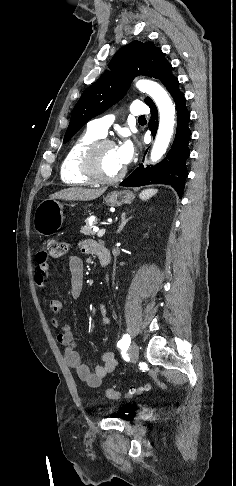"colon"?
<instances>
[{"label": "colon", "instance_id": "obj_1", "mask_svg": "<svg viewBox=\"0 0 236 486\" xmlns=\"http://www.w3.org/2000/svg\"><path fill=\"white\" fill-rule=\"evenodd\" d=\"M66 244L54 239H48L44 243V250L42 256L47 259L57 260L60 259L66 253ZM150 390L149 385H141L138 387L130 388L126 393L122 394L113 388L105 389L104 393L108 399L117 400L121 398H132L137 395L143 394Z\"/></svg>", "mask_w": 236, "mask_h": 486}]
</instances>
